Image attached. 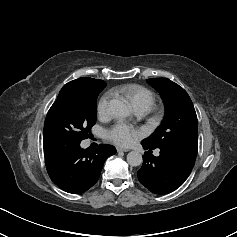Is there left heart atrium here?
Here are the masks:
<instances>
[{"label":"left heart atrium","instance_id":"left-heart-atrium-1","mask_svg":"<svg viewBox=\"0 0 237 237\" xmlns=\"http://www.w3.org/2000/svg\"><path fill=\"white\" fill-rule=\"evenodd\" d=\"M107 137L118 146L128 147L141 137V132L127 124L118 123L107 131Z\"/></svg>","mask_w":237,"mask_h":237}]
</instances>
